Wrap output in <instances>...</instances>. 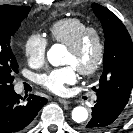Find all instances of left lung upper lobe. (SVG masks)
<instances>
[{
	"instance_id": "1",
	"label": "left lung upper lobe",
	"mask_w": 133,
	"mask_h": 133,
	"mask_svg": "<svg viewBox=\"0 0 133 133\" xmlns=\"http://www.w3.org/2000/svg\"><path fill=\"white\" fill-rule=\"evenodd\" d=\"M105 36L103 73L96 93H105L127 103L133 87L132 40L120 19L107 8L92 4Z\"/></svg>"
}]
</instances>
